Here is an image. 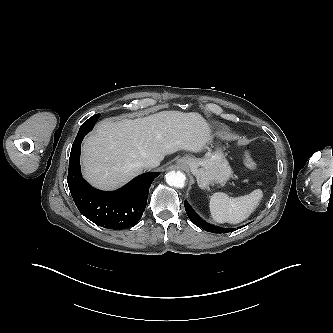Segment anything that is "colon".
I'll list each match as a JSON object with an SVG mask.
<instances>
[{
  "instance_id": "5ec220e1",
  "label": "colon",
  "mask_w": 333,
  "mask_h": 333,
  "mask_svg": "<svg viewBox=\"0 0 333 333\" xmlns=\"http://www.w3.org/2000/svg\"><path fill=\"white\" fill-rule=\"evenodd\" d=\"M243 163H244L245 167L251 171L255 170L257 167L256 162L253 160V158L251 157V154L249 152L244 153Z\"/></svg>"
}]
</instances>
